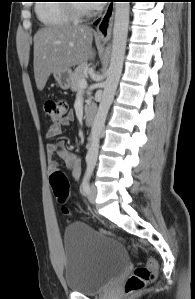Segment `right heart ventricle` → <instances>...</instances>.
<instances>
[{
  "label": "right heart ventricle",
  "mask_w": 195,
  "mask_h": 299,
  "mask_svg": "<svg viewBox=\"0 0 195 299\" xmlns=\"http://www.w3.org/2000/svg\"><path fill=\"white\" fill-rule=\"evenodd\" d=\"M36 6V14L40 22L47 27H60L73 23L68 6L61 0L42 1Z\"/></svg>",
  "instance_id": "e07e8e85"
}]
</instances>
